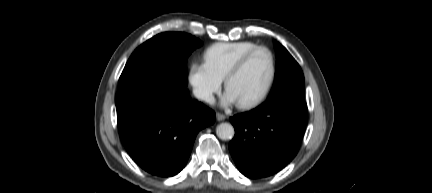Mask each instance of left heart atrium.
I'll list each match as a JSON object with an SVG mask.
<instances>
[{"label":"left heart atrium","mask_w":432,"mask_h":193,"mask_svg":"<svg viewBox=\"0 0 432 193\" xmlns=\"http://www.w3.org/2000/svg\"><path fill=\"white\" fill-rule=\"evenodd\" d=\"M235 102H236L235 98L232 96L231 93H229L227 91V93L225 94V96L223 98V104L224 105H231V104H233Z\"/></svg>","instance_id":"39dd6f15"}]
</instances>
